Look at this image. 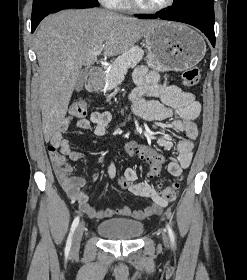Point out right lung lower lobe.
I'll list each match as a JSON object with an SVG mask.
<instances>
[{"instance_id": "1", "label": "right lung lower lobe", "mask_w": 247, "mask_h": 280, "mask_svg": "<svg viewBox=\"0 0 247 280\" xmlns=\"http://www.w3.org/2000/svg\"><path fill=\"white\" fill-rule=\"evenodd\" d=\"M91 7H95V6L90 5V4H86V3L65 4V5H61L59 7L54 8L48 14L53 13V12L58 11V10L68 9V8H91ZM42 19H38V20L32 21V32H34V30L36 29L37 25L39 24V22Z\"/></svg>"}]
</instances>
